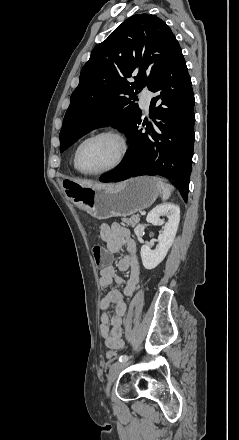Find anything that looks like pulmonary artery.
<instances>
[{"label":"pulmonary artery","mask_w":239,"mask_h":440,"mask_svg":"<svg viewBox=\"0 0 239 440\" xmlns=\"http://www.w3.org/2000/svg\"><path fill=\"white\" fill-rule=\"evenodd\" d=\"M152 97H153V94L151 92H149V91H145V92L142 93V95H141V104H142V107L145 110L148 109Z\"/></svg>","instance_id":"1"}]
</instances>
